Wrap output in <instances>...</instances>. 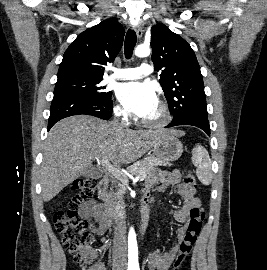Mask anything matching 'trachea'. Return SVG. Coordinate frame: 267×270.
<instances>
[{
  "label": "trachea",
  "mask_w": 267,
  "mask_h": 270,
  "mask_svg": "<svg viewBox=\"0 0 267 270\" xmlns=\"http://www.w3.org/2000/svg\"><path fill=\"white\" fill-rule=\"evenodd\" d=\"M137 37L134 30L129 29L127 31L126 37H125V43H124V52L125 57L127 59L132 57V53L134 50V47L136 45Z\"/></svg>",
  "instance_id": "3493384b"
}]
</instances>
